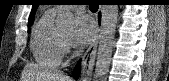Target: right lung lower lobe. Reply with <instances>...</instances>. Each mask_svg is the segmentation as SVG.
<instances>
[{"mask_svg": "<svg viewBox=\"0 0 169 81\" xmlns=\"http://www.w3.org/2000/svg\"><path fill=\"white\" fill-rule=\"evenodd\" d=\"M79 69H80V65H79V63H78L77 66H76V68L74 69V72H73V76H74L75 78L78 77Z\"/></svg>", "mask_w": 169, "mask_h": 81, "instance_id": "right-lung-lower-lobe-1", "label": "right lung lower lobe"}]
</instances>
